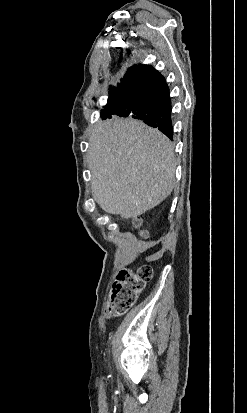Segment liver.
Returning <instances> with one entry per match:
<instances>
[{"mask_svg":"<svg viewBox=\"0 0 247 413\" xmlns=\"http://www.w3.org/2000/svg\"><path fill=\"white\" fill-rule=\"evenodd\" d=\"M89 142L92 196L106 213L137 219L173 190V146L157 128L117 116L98 122Z\"/></svg>","mask_w":247,"mask_h":413,"instance_id":"1","label":"liver"}]
</instances>
